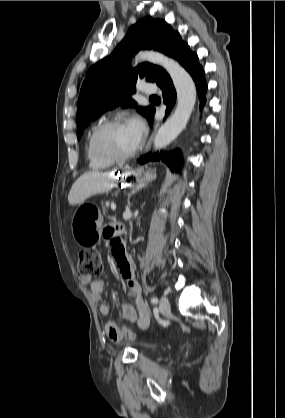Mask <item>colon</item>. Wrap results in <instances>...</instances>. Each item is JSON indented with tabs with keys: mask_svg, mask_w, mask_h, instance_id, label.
Listing matches in <instances>:
<instances>
[{
	"mask_svg": "<svg viewBox=\"0 0 285 418\" xmlns=\"http://www.w3.org/2000/svg\"><path fill=\"white\" fill-rule=\"evenodd\" d=\"M112 254L116 261L122 262L127 258L126 249L124 243L119 240L116 247L113 248ZM102 263L100 256L95 250H84L80 252L77 262V273L81 277H94L101 273ZM107 330L109 333H119L123 337L134 338L132 331L124 326L108 325Z\"/></svg>",
	"mask_w": 285,
	"mask_h": 418,
	"instance_id": "obj_1",
	"label": "colon"
}]
</instances>
